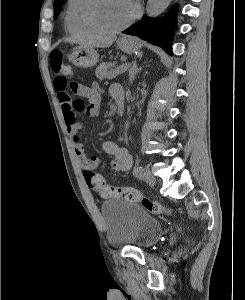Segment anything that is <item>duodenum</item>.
<instances>
[{
	"instance_id": "1",
	"label": "duodenum",
	"mask_w": 245,
	"mask_h": 300,
	"mask_svg": "<svg viewBox=\"0 0 245 300\" xmlns=\"http://www.w3.org/2000/svg\"><path fill=\"white\" fill-rule=\"evenodd\" d=\"M114 99L116 102L117 110L120 115L123 114L125 108V100L122 92H116L114 94Z\"/></svg>"
}]
</instances>
